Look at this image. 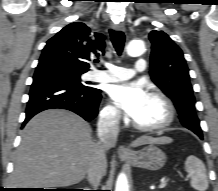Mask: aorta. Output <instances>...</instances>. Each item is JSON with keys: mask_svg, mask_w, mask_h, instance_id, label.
Returning <instances> with one entry per match:
<instances>
[{"mask_svg": "<svg viewBox=\"0 0 218 191\" xmlns=\"http://www.w3.org/2000/svg\"><path fill=\"white\" fill-rule=\"evenodd\" d=\"M126 52L131 57H137L145 52V44L140 39L132 40L126 47ZM115 191H129L127 177L124 173H120L115 186Z\"/></svg>", "mask_w": 218, "mask_h": 191, "instance_id": "obj_1", "label": "aorta"}]
</instances>
